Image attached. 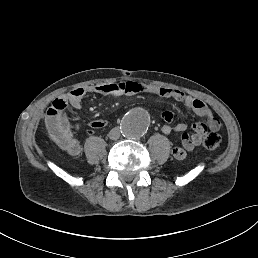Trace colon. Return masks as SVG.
<instances>
[{"mask_svg":"<svg viewBox=\"0 0 258 258\" xmlns=\"http://www.w3.org/2000/svg\"><path fill=\"white\" fill-rule=\"evenodd\" d=\"M220 142L221 137L216 130H209L203 137V146L210 150L218 148Z\"/></svg>","mask_w":258,"mask_h":258,"instance_id":"5ec220e1","label":"colon"}]
</instances>
